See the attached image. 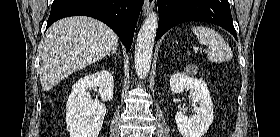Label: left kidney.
I'll return each mask as SVG.
<instances>
[{
    "label": "left kidney",
    "instance_id": "1",
    "mask_svg": "<svg viewBox=\"0 0 280 137\" xmlns=\"http://www.w3.org/2000/svg\"><path fill=\"white\" fill-rule=\"evenodd\" d=\"M170 88L175 94L186 88L192 89L191 100L195 114L188 117L181 110L177 111L175 121L182 137H202L213 122V104L207 84L202 79L177 72L170 77Z\"/></svg>",
    "mask_w": 280,
    "mask_h": 137
}]
</instances>
